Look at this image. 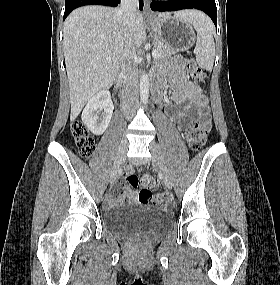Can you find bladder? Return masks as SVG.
Segmentation results:
<instances>
[{"mask_svg": "<svg viewBox=\"0 0 280 285\" xmlns=\"http://www.w3.org/2000/svg\"><path fill=\"white\" fill-rule=\"evenodd\" d=\"M105 227L119 235L154 236L166 231L171 223L169 212L153 207H117L102 214Z\"/></svg>", "mask_w": 280, "mask_h": 285, "instance_id": "31cf9c89", "label": "bladder"}]
</instances>
